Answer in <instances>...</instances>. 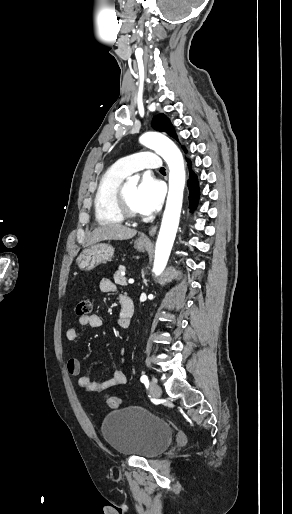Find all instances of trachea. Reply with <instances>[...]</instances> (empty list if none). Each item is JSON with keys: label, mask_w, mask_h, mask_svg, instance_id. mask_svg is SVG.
Instances as JSON below:
<instances>
[{"label": "trachea", "mask_w": 292, "mask_h": 514, "mask_svg": "<svg viewBox=\"0 0 292 514\" xmlns=\"http://www.w3.org/2000/svg\"><path fill=\"white\" fill-rule=\"evenodd\" d=\"M160 171H165V168H164V167H161Z\"/></svg>", "instance_id": "obj_1"}]
</instances>
